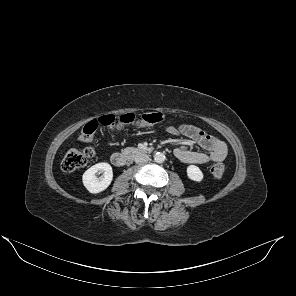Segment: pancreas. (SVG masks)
Segmentation results:
<instances>
[{"label":"pancreas","instance_id":"cf45deb5","mask_svg":"<svg viewBox=\"0 0 296 296\" xmlns=\"http://www.w3.org/2000/svg\"><path fill=\"white\" fill-rule=\"evenodd\" d=\"M133 150H134V148H131V147L124 149L125 152H129V151H133Z\"/></svg>","mask_w":296,"mask_h":296}]
</instances>
